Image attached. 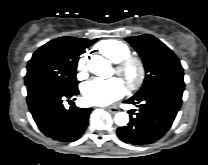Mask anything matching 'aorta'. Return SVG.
Masks as SVG:
<instances>
[{"label":"aorta","instance_id":"1","mask_svg":"<svg viewBox=\"0 0 208 165\" xmlns=\"http://www.w3.org/2000/svg\"><path fill=\"white\" fill-rule=\"evenodd\" d=\"M88 69L93 74L105 78L109 76L110 65L104 57L95 55L88 61ZM114 121L118 126H126L129 122V116L126 112H118Z\"/></svg>","mask_w":208,"mask_h":165}]
</instances>
